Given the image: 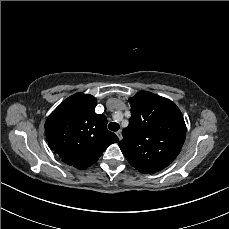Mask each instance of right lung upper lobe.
<instances>
[{
	"label": "right lung upper lobe",
	"instance_id": "right-lung-upper-lobe-1",
	"mask_svg": "<svg viewBox=\"0 0 229 229\" xmlns=\"http://www.w3.org/2000/svg\"><path fill=\"white\" fill-rule=\"evenodd\" d=\"M95 97L76 93L64 100L47 118L46 140L66 164L84 170L97 162L118 137L107 130V118L96 114Z\"/></svg>",
	"mask_w": 229,
	"mask_h": 229
}]
</instances>
